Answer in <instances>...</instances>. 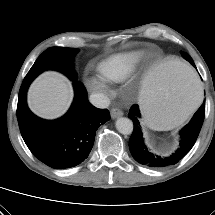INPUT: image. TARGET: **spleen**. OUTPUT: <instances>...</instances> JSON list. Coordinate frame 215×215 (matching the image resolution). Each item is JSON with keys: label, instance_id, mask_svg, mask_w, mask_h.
<instances>
[{"label": "spleen", "instance_id": "3e777b00", "mask_svg": "<svg viewBox=\"0 0 215 215\" xmlns=\"http://www.w3.org/2000/svg\"><path fill=\"white\" fill-rule=\"evenodd\" d=\"M203 92L202 82L186 61L172 59L159 64L142 82L139 103L145 123L154 130L182 123Z\"/></svg>", "mask_w": 215, "mask_h": 215}]
</instances>
